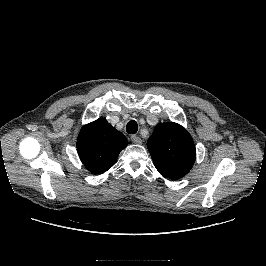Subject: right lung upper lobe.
Returning a JSON list of instances; mask_svg holds the SVG:
<instances>
[{"label": "right lung upper lobe", "mask_w": 266, "mask_h": 266, "mask_svg": "<svg viewBox=\"0 0 266 266\" xmlns=\"http://www.w3.org/2000/svg\"><path fill=\"white\" fill-rule=\"evenodd\" d=\"M126 146V137L105 118L83 126L77 138L78 155L85 167L94 174L110 169Z\"/></svg>", "instance_id": "1"}]
</instances>
